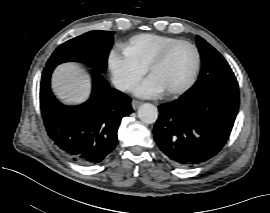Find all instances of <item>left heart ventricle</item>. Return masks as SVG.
Masks as SVG:
<instances>
[{"mask_svg":"<svg viewBox=\"0 0 270 213\" xmlns=\"http://www.w3.org/2000/svg\"><path fill=\"white\" fill-rule=\"evenodd\" d=\"M195 64L194 50L188 45H180L168 54L165 60L154 69L151 76L163 91L178 89L190 79Z\"/></svg>","mask_w":270,"mask_h":213,"instance_id":"left-heart-ventricle-1","label":"left heart ventricle"}]
</instances>
